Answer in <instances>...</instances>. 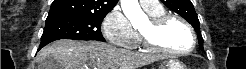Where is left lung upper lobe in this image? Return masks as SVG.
Returning <instances> with one entry per match:
<instances>
[{
    "instance_id": "1",
    "label": "left lung upper lobe",
    "mask_w": 246,
    "mask_h": 69,
    "mask_svg": "<svg viewBox=\"0 0 246 69\" xmlns=\"http://www.w3.org/2000/svg\"><path fill=\"white\" fill-rule=\"evenodd\" d=\"M169 9L173 10L186 21H188L195 29L198 37L200 49L203 50V38L200 32V23L193 4L190 0H161Z\"/></svg>"
}]
</instances>
